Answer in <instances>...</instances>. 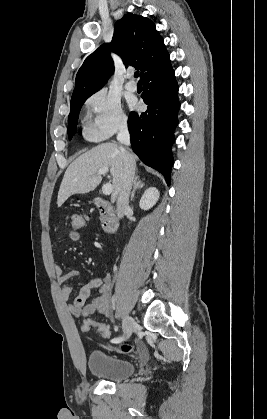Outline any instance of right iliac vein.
<instances>
[{
	"label": "right iliac vein",
	"mask_w": 267,
	"mask_h": 419,
	"mask_svg": "<svg viewBox=\"0 0 267 419\" xmlns=\"http://www.w3.org/2000/svg\"><path fill=\"white\" fill-rule=\"evenodd\" d=\"M135 323L129 315L123 316V337L128 339L134 329Z\"/></svg>",
	"instance_id": "obj_1"
}]
</instances>
